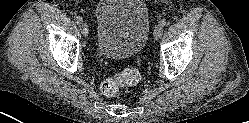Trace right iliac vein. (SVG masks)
<instances>
[{
    "label": "right iliac vein",
    "instance_id": "63e3f726",
    "mask_svg": "<svg viewBox=\"0 0 249 123\" xmlns=\"http://www.w3.org/2000/svg\"><path fill=\"white\" fill-rule=\"evenodd\" d=\"M81 32L84 36H87L89 33L88 25L86 23H82L80 26Z\"/></svg>",
    "mask_w": 249,
    "mask_h": 123
}]
</instances>
